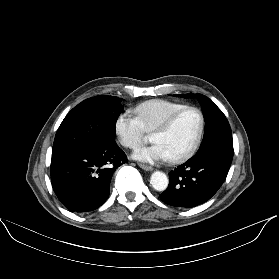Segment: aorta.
Here are the masks:
<instances>
[{
    "mask_svg": "<svg viewBox=\"0 0 279 279\" xmlns=\"http://www.w3.org/2000/svg\"><path fill=\"white\" fill-rule=\"evenodd\" d=\"M150 183L155 190L164 191L168 186V178L165 173L161 171H155L151 175Z\"/></svg>",
    "mask_w": 279,
    "mask_h": 279,
    "instance_id": "1",
    "label": "aorta"
}]
</instances>
